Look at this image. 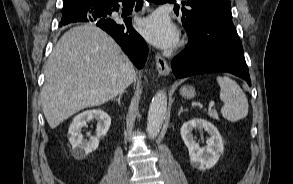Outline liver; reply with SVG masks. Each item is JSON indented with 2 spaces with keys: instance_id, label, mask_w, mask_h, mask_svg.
Returning a JSON list of instances; mask_svg holds the SVG:
<instances>
[{
  "instance_id": "6515ba94",
  "label": "liver",
  "mask_w": 293,
  "mask_h": 184,
  "mask_svg": "<svg viewBox=\"0 0 293 184\" xmlns=\"http://www.w3.org/2000/svg\"><path fill=\"white\" fill-rule=\"evenodd\" d=\"M41 91L51 129L88 107L113 99L135 80L128 57L106 32L93 24L68 30L46 63Z\"/></svg>"
}]
</instances>
